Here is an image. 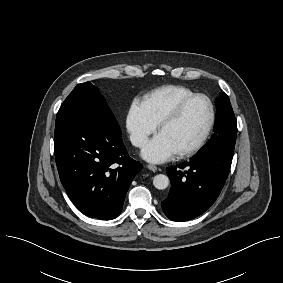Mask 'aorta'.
I'll use <instances>...</instances> for the list:
<instances>
[{"label":"aorta","instance_id":"762f6f07","mask_svg":"<svg viewBox=\"0 0 283 283\" xmlns=\"http://www.w3.org/2000/svg\"><path fill=\"white\" fill-rule=\"evenodd\" d=\"M153 185L159 190L166 189L169 185V178L164 174H158L153 178Z\"/></svg>","mask_w":283,"mask_h":283}]
</instances>
